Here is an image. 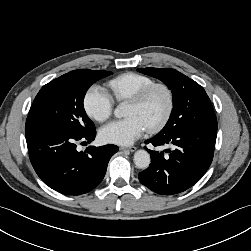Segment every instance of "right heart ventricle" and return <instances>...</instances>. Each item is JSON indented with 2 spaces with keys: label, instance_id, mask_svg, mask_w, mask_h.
Instances as JSON below:
<instances>
[{
  "label": "right heart ventricle",
  "instance_id": "right-heart-ventricle-1",
  "mask_svg": "<svg viewBox=\"0 0 251 251\" xmlns=\"http://www.w3.org/2000/svg\"><path fill=\"white\" fill-rule=\"evenodd\" d=\"M155 83L149 76L127 72L108 82L113 97L118 101L129 100L145 87Z\"/></svg>",
  "mask_w": 251,
  "mask_h": 251
}]
</instances>
